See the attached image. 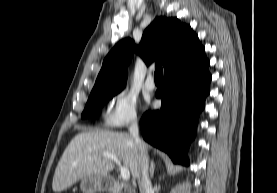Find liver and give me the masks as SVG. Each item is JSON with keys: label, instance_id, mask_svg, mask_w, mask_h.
I'll use <instances>...</instances> for the list:
<instances>
[{"label": "liver", "instance_id": "obj_1", "mask_svg": "<svg viewBox=\"0 0 277 193\" xmlns=\"http://www.w3.org/2000/svg\"><path fill=\"white\" fill-rule=\"evenodd\" d=\"M147 151L148 145L143 143ZM111 153L130 169L133 179L140 172L139 147L131 135L106 130L85 131L77 134L62 154L56 167L52 189L61 192L88 176L107 175L114 169L112 160L103 157Z\"/></svg>", "mask_w": 277, "mask_h": 193}]
</instances>
